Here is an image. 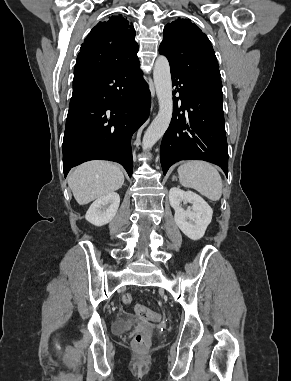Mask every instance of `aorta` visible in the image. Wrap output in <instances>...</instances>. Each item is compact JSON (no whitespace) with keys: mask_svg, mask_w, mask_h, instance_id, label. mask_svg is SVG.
Returning a JSON list of instances; mask_svg holds the SVG:
<instances>
[{"mask_svg":"<svg viewBox=\"0 0 291 381\" xmlns=\"http://www.w3.org/2000/svg\"><path fill=\"white\" fill-rule=\"evenodd\" d=\"M153 78L159 103V111L146 130L142 148L147 151L164 135L173 113V96L170 66L165 56H159L153 69Z\"/></svg>","mask_w":291,"mask_h":381,"instance_id":"762f6f07","label":"aorta"}]
</instances>
